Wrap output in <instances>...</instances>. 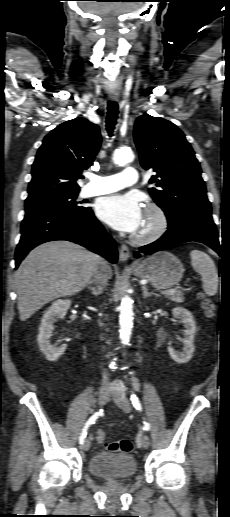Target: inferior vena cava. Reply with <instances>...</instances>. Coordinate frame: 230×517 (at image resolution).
<instances>
[{"label": "inferior vena cava", "mask_w": 230, "mask_h": 517, "mask_svg": "<svg viewBox=\"0 0 230 517\" xmlns=\"http://www.w3.org/2000/svg\"><path fill=\"white\" fill-rule=\"evenodd\" d=\"M102 263L105 264L106 262L102 260ZM108 279L109 277L103 268H100L99 271L94 275V282L98 285L106 286ZM103 378L108 379V374L106 372H104Z\"/></svg>", "instance_id": "602c4592"}]
</instances>
